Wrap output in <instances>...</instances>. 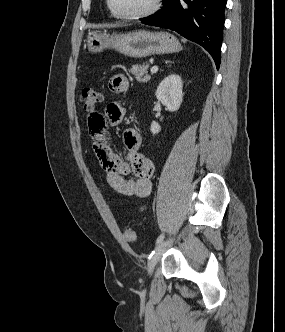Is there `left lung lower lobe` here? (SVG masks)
<instances>
[{
    "label": "left lung lower lobe",
    "instance_id": "0a47b994",
    "mask_svg": "<svg viewBox=\"0 0 285 332\" xmlns=\"http://www.w3.org/2000/svg\"><path fill=\"white\" fill-rule=\"evenodd\" d=\"M162 10L141 19L168 28L204 47L220 65L226 0H165Z\"/></svg>",
    "mask_w": 285,
    "mask_h": 332
}]
</instances>
